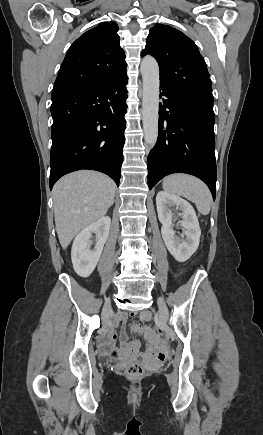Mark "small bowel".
I'll list each match as a JSON object with an SVG mask.
<instances>
[{
  "label": "small bowel",
  "instance_id": "1",
  "mask_svg": "<svg viewBox=\"0 0 263 435\" xmlns=\"http://www.w3.org/2000/svg\"><path fill=\"white\" fill-rule=\"evenodd\" d=\"M143 320H148L150 315L147 312H143L141 314ZM126 318V315L120 313L116 321L122 322ZM145 338L148 341H151L150 348L144 349V354H153L155 362L157 364H162L165 359V354L162 349V343L160 341L161 334L159 332L151 331L150 329H145ZM115 334L112 328H108L101 340L102 347L109 353L110 357L113 359H121L124 356H135L139 351V342L138 341H129L128 335L125 331H121L120 340L122 344V348L119 349L114 343Z\"/></svg>",
  "mask_w": 263,
  "mask_h": 435
}]
</instances>
